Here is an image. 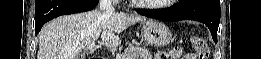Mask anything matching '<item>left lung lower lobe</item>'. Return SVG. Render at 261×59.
<instances>
[{
  "label": "left lung lower lobe",
  "instance_id": "left-lung-lower-lobe-1",
  "mask_svg": "<svg viewBox=\"0 0 261 59\" xmlns=\"http://www.w3.org/2000/svg\"><path fill=\"white\" fill-rule=\"evenodd\" d=\"M139 14L164 21L195 20L204 23L217 42L220 22L219 0H181L164 11L137 9Z\"/></svg>",
  "mask_w": 261,
  "mask_h": 59
}]
</instances>
